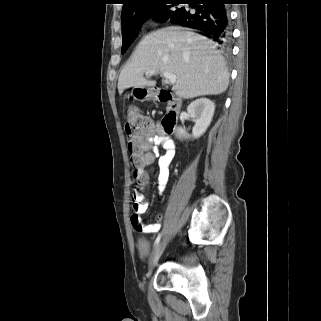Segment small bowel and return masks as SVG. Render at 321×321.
<instances>
[{"label": "small bowel", "mask_w": 321, "mask_h": 321, "mask_svg": "<svg viewBox=\"0 0 321 321\" xmlns=\"http://www.w3.org/2000/svg\"><path fill=\"white\" fill-rule=\"evenodd\" d=\"M149 147V152L146 156V163H150L155 158V153L152 150L153 146H161L164 153L158 158V191L162 193L165 191L169 177L170 165L175 157V144L173 140L168 137L158 126L153 125L151 133L145 139ZM139 189H136L133 194V209L137 219L132 215L130 218L132 227L141 233H156L159 231L161 224L156 222L153 224H145L141 221L140 215L145 213L149 207V203L145 198L139 197ZM162 219V215H158V220Z\"/></svg>", "instance_id": "1"}]
</instances>
